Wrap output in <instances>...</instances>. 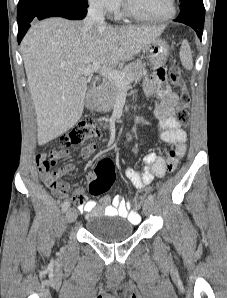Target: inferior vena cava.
<instances>
[{
	"instance_id": "1",
	"label": "inferior vena cava",
	"mask_w": 227,
	"mask_h": 298,
	"mask_svg": "<svg viewBox=\"0 0 227 298\" xmlns=\"http://www.w3.org/2000/svg\"><path fill=\"white\" fill-rule=\"evenodd\" d=\"M95 26H106L103 5L98 1L90 4L87 16L84 19L85 29H92Z\"/></svg>"
}]
</instances>
